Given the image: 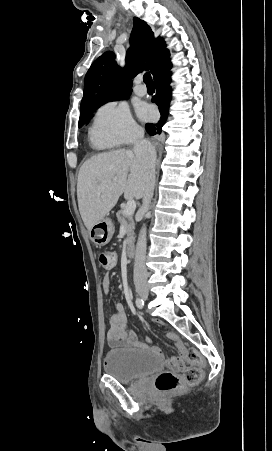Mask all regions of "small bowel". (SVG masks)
Masks as SVG:
<instances>
[{
  "label": "small bowel",
  "instance_id": "c3829d8e",
  "mask_svg": "<svg viewBox=\"0 0 272 451\" xmlns=\"http://www.w3.org/2000/svg\"><path fill=\"white\" fill-rule=\"evenodd\" d=\"M102 287L105 293L110 292L111 279L109 275L103 277ZM167 336L173 342L174 348H185L183 341L177 333L169 332ZM106 340L110 346L127 345L135 348H146L152 350L159 356L163 355L162 350L157 346H151L149 340L147 344L141 343L136 333L128 328V315L124 304L121 302L115 304V312L109 318V329L106 333Z\"/></svg>",
  "mask_w": 272,
  "mask_h": 451
}]
</instances>
